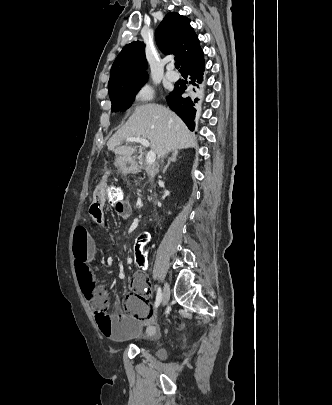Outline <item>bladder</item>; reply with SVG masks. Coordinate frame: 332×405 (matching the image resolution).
<instances>
[{
  "label": "bladder",
  "mask_w": 332,
  "mask_h": 405,
  "mask_svg": "<svg viewBox=\"0 0 332 405\" xmlns=\"http://www.w3.org/2000/svg\"><path fill=\"white\" fill-rule=\"evenodd\" d=\"M156 358L160 360H164L166 358V350L163 348H159L155 351Z\"/></svg>",
  "instance_id": "bladder-1"
}]
</instances>
